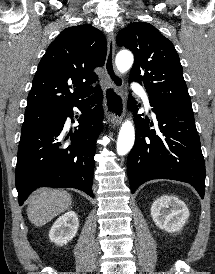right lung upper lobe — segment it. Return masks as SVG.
Masks as SVG:
<instances>
[{
  "label": "right lung upper lobe",
  "instance_id": "cb5924a9",
  "mask_svg": "<svg viewBox=\"0 0 215 274\" xmlns=\"http://www.w3.org/2000/svg\"><path fill=\"white\" fill-rule=\"evenodd\" d=\"M106 40L100 30L90 24L64 29L49 45L42 57L25 111L54 109L85 98L98 79L93 72L103 66Z\"/></svg>",
  "mask_w": 215,
  "mask_h": 274
}]
</instances>
